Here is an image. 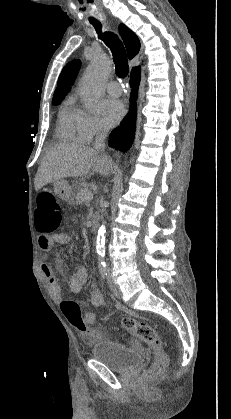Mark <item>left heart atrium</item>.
I'll list each match as a JSON object with an SVG mask.
<instances>
[{
  "label": "left heart atrium",
  "mask_w": 231,
  "mask_h": 419,
  "mask_svg": "<svg viewBox=\"0 0 231 419\" xmlns=\"http://www.w3.org/2000/svg\"><path fill=\"white\" fill-rule=\"evenodd\" d=\"M124 113V105L119 99L109 98L102 103V120L106 127L115 126Z\"/></svg>",
  "instance_id": "1"
}]
</instances>
